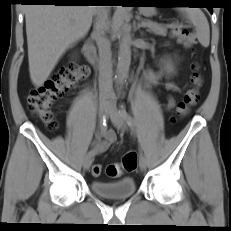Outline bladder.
<instances>
[{
	"label": "bladder",
	"instance_id": "bladder-1",
	"mask_svg": "<svg viewBox=\"0 0 231 231\" xmlns=\"http://www.w3.org/2000/svg\"><path fill=\"white\" fill-rule=\"evenodd\" d=\"M91 190L104 198L120 199L134 194L136 182L132 177H124L113 182L94 180L90 184Z\"/></svg>",
	"mask_w": 231,
	"mask_h": 231
}]
</instances>
